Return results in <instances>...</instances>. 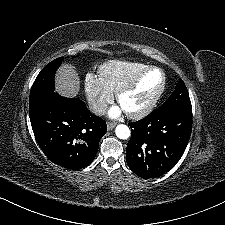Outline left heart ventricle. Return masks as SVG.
Here are the masks:
<instances>
[{"mask_svg": "<svg viewBox=\"0 0 225 225\" xmlns=\"http://www.w3.org/2000/svg\"><path fill=\"white\" fill-rule=\"evenodd\" d=\"M161 85V75L156 71L148 72L140 82L138 88L123 97L120 102L125 112L140 111L155 95Z\"/></svg>", "mask_w": 225, "mask_h": 225, "instance_id": "b2bd125f", "label": "left heart ventricle"}]
</instances>
